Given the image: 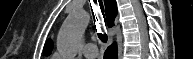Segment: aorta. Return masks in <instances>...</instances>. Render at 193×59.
Instances as JSON below:
<instances>
[{
    "mask_svg": "<svg viewBox=\"0 0 193 59\" xmlns=\"http://www.w3.org/2000/svg\"><path fill=\"white\" fill-rule=\"evenodd\" d=\"M89 20V14L82 9L75 10L66 18L57 38V47L64 57L72 59L76 55L79 38Z\"/></svg>",
    "mask_w": 193,
    "mask_h": 59,
    "instance_id": "aorta-1",
    "label": "aorta"
}]
</instances>
